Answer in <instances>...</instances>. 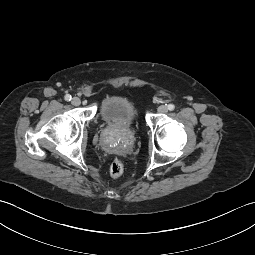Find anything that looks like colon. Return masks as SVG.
Wrapping results in <instances>:
<instances>
[{
    "label": "colon",
    "mask_w": 255,
    "mask_h": 255,
    "mask_svg": "<svg viewBox=\"0 0 255 255\" xmlns=\"http://www.w3.org/2000/svg\"><path fill=\"white\" fill-rule=\"evenodd\" d=\"M124 173V164L120 159H114L109 166V174L114 177H120Z\"/></svg>",
    "instance_id": "5ec220e1"
}]
</instances>
